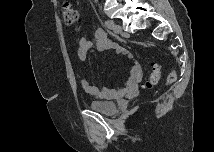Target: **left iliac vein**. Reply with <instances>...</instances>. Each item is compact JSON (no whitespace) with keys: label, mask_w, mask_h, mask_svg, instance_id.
Masks as SVG:
<instances>
[{"label":"left iliac vein","mask_w":215,"mask_h":152,"mask_svg":"<svg viewBox=\"0 0 215 152\" xmlns=\"http://www.w3.org/2000/svg\"><path fill=\"white\" fill-rule=\"evenodd\" d=\"M113 22V21H111ZM112 29L116 34H121L122 33V27L118 24H114L112 25Z\"/></svg>","instance_id":"1"}]
</instances>
